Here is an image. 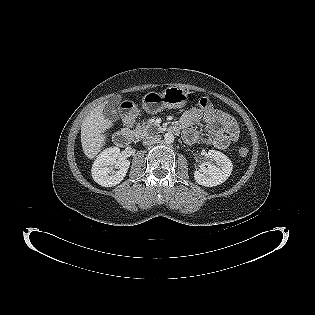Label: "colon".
I'll return each mask as SVG.
<instances>
[{"label": "colon", "instance_id": "1", "mask_svg": "<svg viewBox=\"0 0 315 315\" xmlns=\"http://www.w3.org/2000/svg\"><path fill=\"white\" fill-rule=\"evenodd\" d=\"M197 105L203 109V110H210V109H213L214 106L213 104L211 103V101L206 98V97H201L197 100ZM249 150L247 147H240L239 148V154L241 156H246L248 154Z\"/></svg>", "mask_w": 315, "mask_h": 315}]
</instances>
